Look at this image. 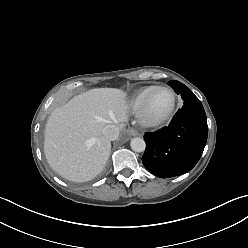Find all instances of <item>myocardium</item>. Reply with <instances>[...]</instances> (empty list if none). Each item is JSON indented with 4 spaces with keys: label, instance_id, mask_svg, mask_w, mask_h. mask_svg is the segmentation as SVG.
<instances>
[{
    "label": "myocardium",
    "instance_id": "f54148a6",
    "mask_svg": "<svg viewBox=\"0 0 248 248\" xmlns=\"http://www.w3.org/2000/svg\"><path fill=\"white\" fill-rule=\"evenodd\" d=\"M158 90H164L170 94L171 104H170L169 108L164 113H162L158 116H152V115H150L149 110H148L149 102H150L152 94ZM175 108H176V96H175L174 92L170 88L165 87V86H155L146 95V97H145V99H144V101H143V103H142V105L138 111L139 122L144 127H148V128L159 127V126L165 124L172 117V115L174 114Z\"/></svg>",
    "mask_w": 248,
    "mask_h": 248
}]
</instances>
